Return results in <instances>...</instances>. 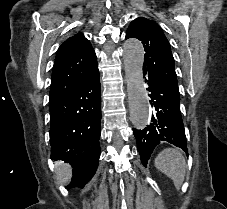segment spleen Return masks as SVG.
<instances>
[{
	"label": "spleen",
	"mask_w": 227,
	"mask_h": 209,
	"mask_svg": "<svg viewBox=\"0 0 227 209\" xmlns=\"http://www.w3.org/2000/svg\"><path fill=\"white\" fill-rule=\"evenodd\" d=\"M154 165L161 173L172 179L176 189L180 191L185 179L186 163L179 149H164L156 157Z\"/></svg>",
	"instance_id": "3e777b00"
}]
</instances>
